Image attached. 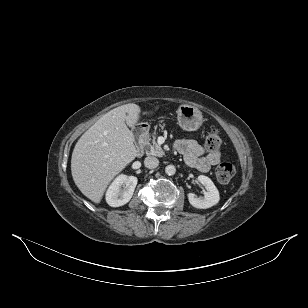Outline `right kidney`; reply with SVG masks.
I'll use <instances>...</instances> for the list:
<instances>
[{
    "mask_svg": "<svg viewBox=\"0 0 308 308\" xmlns=\"http://www.w3.org/2000/svg\"><path fill=\"white\" fill-rule=\"evenodd\" d=\"M137 182L138 179L135 176H118L107 190L106 202L111 207L125 205L132 198Z\"/></svg>",
    "mask_w": 308,
    "mask_h": 308,
    "instance_id": "1",
    "label": "right kidney"
}]
</instances>
